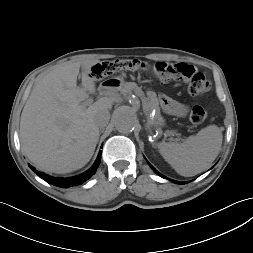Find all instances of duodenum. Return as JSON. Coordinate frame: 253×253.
Segmentation results:
<instances>
[{"mask_svg":"<svg viewBox=\"0 0 253 253\" xmlns=\"http://www.w3.org/2000/svg\"><path fill=\"white\" fill-rule=\"evenodd\" d=\"M115 82L110 80V81H106L104 83H102L100 86H99V92L100 93H104L106 91H109L111 87L115 86Z\"/></svg>","mask_w":253,"mask_h":253,"instance_id":"duodenum-1","label":"duodenum"}]
</instances>
